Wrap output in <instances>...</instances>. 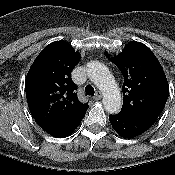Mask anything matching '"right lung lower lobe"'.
<instances>
[{
  "label": "right lung lower lobe",
  "instance_id": "obj_1",
  "mask_svg": "<svg viewBox=\"0 0 175 175\" xmlns=\"http://www.w3.org/2000/svg\"><path fill=\"white\" fill-rule=\"evenodd\" d=\"M81 120L72 125H62V126H58L55 128L47 129L45 131L49 133L50 135H52L53 137L63 138V137L71 135L73 131L78 127Z\"/></svg>",
  "mask_w": 175,
  "mask_h": 175
}]
</instances>
